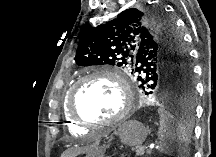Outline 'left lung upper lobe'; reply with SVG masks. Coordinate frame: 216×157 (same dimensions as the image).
<instances>
[{
  "instance_id": "1",
  "label": "left lung upper lobe",
  "mask_w": 216,
  "mask_h": 157,
  "mask_svg": "<svg viewBox=\"0 0 216 157\" xmlns=\"http://www.w3.org/2000/svg\"><path fill=\"white\" fill-rule=\"evenodd\" d=\"M79 66L128 67L145 94L178 95L193 105L195 88L188 52L164 10L130 8L84 34L75 56Z\"/></svg>"
}]
</instances>
